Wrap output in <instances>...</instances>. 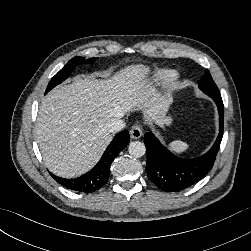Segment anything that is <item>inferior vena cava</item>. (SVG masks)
Here are the masks:
<instances>
[{
	"instance_id": "inferior-vena-cava-1",
	"label": "inferior vena cava",
	"mask_w": 251,
	"mask_h": 251,
	"mask_svg": "<svg viewBox=\"0 0 251 251\" xmlns=\"http://www.w3.org/2000/svg\"><path fill=\"white\" fill-rule=\"evenodd\" d=\"M107 127L108 131L111 133L120 132L125 127V123L123 120L116 118L111 120Z\"/></svg>"
}]
</instances>
